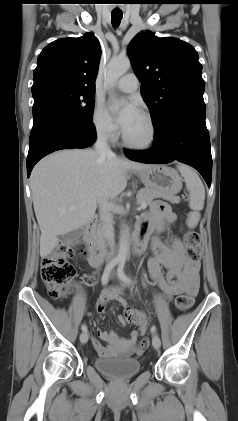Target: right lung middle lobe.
<instances>
[{
  "instance_id": "right-lung-middle-lobe-1",
  "label": "right lung middle lobe",
  "mask_w": 238,
  "mask_h": 421,
  "mask_svg": "<svg viewBox=\"0 0 238 421\" xmlns=\"http://www.w3.org/2000/svg\"><path fill=\"white\" fill-rule=\"evenodd\" d=\"M95 90L75 87L58 82L32 86L33 107L52 104L85 123H92Z\"/></svg>"
}]
</instances>
